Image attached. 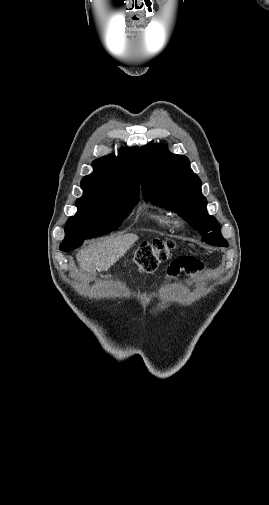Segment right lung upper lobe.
I'll return each mask as SVG.
<instances>
[{
  "label": "right lung upper lobe",
  "instance_id": "cb5924a9",
  "mask_svg": "<svg viewBox=\"0 0 269 505\" xmlns=\"http://www.w3.org/2000/svg\"><path fill=\"white\" fill-rule=\"evenodd\" d=\"M94 171L81 181L82 197H137L140 186L138 147L120 149L92 163Z\"/></svg>",
  "mask_w": 269,
  "mask_h": 505
}]
</instances>
